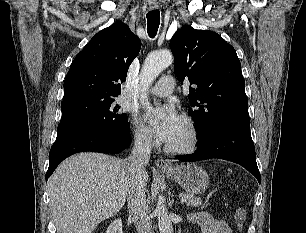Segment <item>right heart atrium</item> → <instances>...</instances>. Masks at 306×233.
<instances>
[{
    "instance_id": "d8ad5b80",
    "label": "right heart atrium",
    "mask_w": 306,
    "mask_h": 233,
    "mask_svg": "<svg viewBox=\"0 0 306 233\" xmlns=\"http://www.w3.org/2000/svg\"><path fill=\"white\" fill-rule=\"evenodd\" d=\"M133 140L136 146L149 149L153 145V138L137 118H133Z\"/></svg>"
}]
</instances>
